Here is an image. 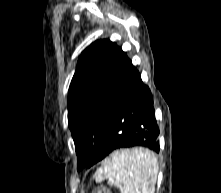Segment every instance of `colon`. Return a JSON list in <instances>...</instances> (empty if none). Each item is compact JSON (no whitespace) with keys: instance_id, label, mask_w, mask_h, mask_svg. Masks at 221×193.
<instances>
[{"instance_id":"5ec220e1","label":"colon","mask_w":221,"mask_h":193,"mask_svg":"<svg viewBox=\"0 0 221 193\" xmlns=\"http://www.w3.org/2000/svg\"><path fill=\"white\" fill-rule=\"evenodd\" d=\"M93 193H106V188H97L93 191Z\"/></svg>"}]
</instances>
